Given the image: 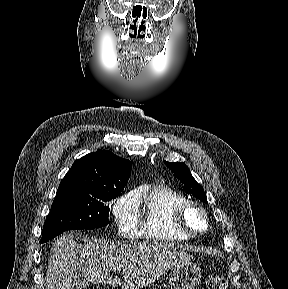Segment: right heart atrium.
<instances>
[{"instance_id": "obj_1", "label": "right heart atrium", "mask_w": 288, "mask_h": 289, "mask_svg": "<svg viewBox=\"0 0 288 289\" xmlns=\"http://www.w3.org/2000/svg\"><path fill=\"white\" fill-rule=\"evenodd\" d=\"M113 215L122 236L133 238L138 234V218L131 194H125L115 202Z\"/></svg>"}]
</instances>
